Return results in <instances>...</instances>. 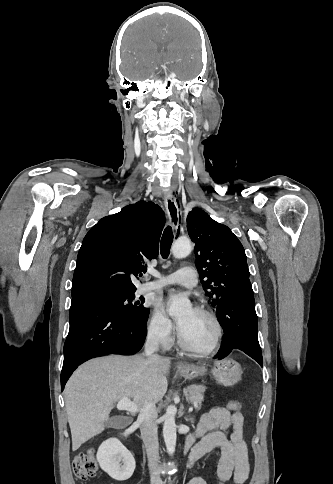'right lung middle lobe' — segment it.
Masks as SVG:
<instances>
[{"instance_id": "right-lung-middle-lobe-1", "label": "right lung middle lobe", "mask_w": 333, "mask_h": 484, "mask_svg": "<svg viewBox=\"0 0 333 484\" xmlns=\"http://www.w3.org/2000/svg\"><path fill=\"white\" fill-rule=\"evenodd\" d=\"M97 295L104 297L118 312L124 314L130 320L145 324L148 319L149 309L144 307V300L133 302L134 292L119 293L112 290H99Z\"/></svg>"}]
</instances>
